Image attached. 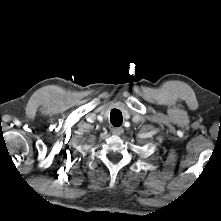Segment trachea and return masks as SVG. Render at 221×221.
I'll return each mask as SVG.
<instances>
[{"instance_id":"1","label":"trachea","mask_w":221,"mask_h":221,"mask_svg":"<svg viewBox=\"0 0 221 221\" xmlns=\"http://www.w3.org/2000/svg\"><path fill=\"white\" fill-rule=\"evenodd\" d=\"M122 113L118 109H113L110 113V122L113 126L119 127L122 124Z\"/></svg>"}]
</instances>
